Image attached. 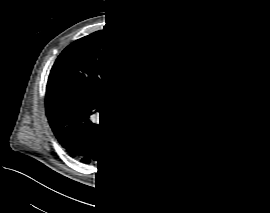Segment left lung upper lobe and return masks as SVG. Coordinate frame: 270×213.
<instances>
[{
  "instance_id": "left-lung-upper-lobe-1",
  "label": "left lung upper lobe",
  "mask_w": 270,
  "mask_h": 213,
  "mask_svg": "<svg viewBox=\"0 0 270 213\" xmlns=\"http://www.w3.org/2000/svg\"><path fill=\"white\" fill-rule=\"evenodd\" d=\"M199 52L197 80L178 101L206 104L221 109L229 100L228 71L222 60L209 48L194 42Z\"/></svg>"
}]
</instances>
